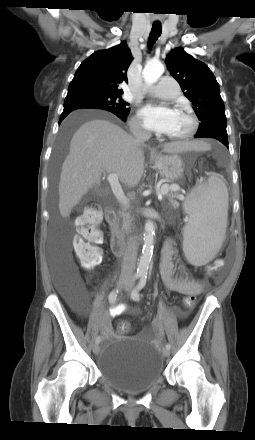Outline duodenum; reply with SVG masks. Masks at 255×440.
<instances>
[{
    "label": "duodenum",
    "instance_id": "1",
    "mask_svg": "<svg viewBox=\"0 0 255 440\" xmlns=\"http://www.w3.org/2000/svg\"><path fill=\"white\" fill-rule=\"evenodd\" d=\"M116 212L112 207H108L105 212V218L109 224L113 235L111 239V249L114 255L122 256L125 253L126 245L118 231L116 230Z\"/></svg>",
    "mask_w": 255,
    "mask_h": 440
}]
</instances>
